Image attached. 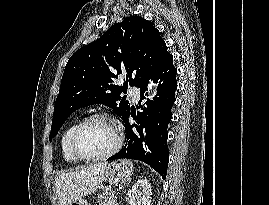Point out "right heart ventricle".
Instances as JSON below:
<instances>
[{"label": "right heart ventricle", "mask_w": 269, "mask_h": 205, "mask_svg": "<svg viewBox=\"0 0 269 205\" xmlns=\"http://www.w3.org/2000/svg\"><path fill=\"white\" fill-rule=\"evenodd\" d=\"M80 122V120H74L69 126L64 130L60 145H61V152L64 160L69 163H77L80 160L72 153L70 148V137L74 130V128L77 126V124Z\"/></svg>", "instance_id": "right-heart-ventricle-1"}]
</instances>
